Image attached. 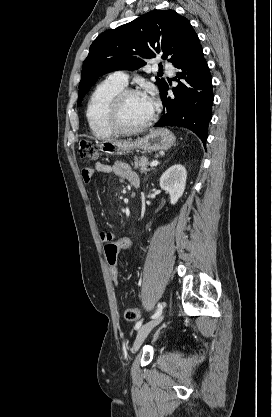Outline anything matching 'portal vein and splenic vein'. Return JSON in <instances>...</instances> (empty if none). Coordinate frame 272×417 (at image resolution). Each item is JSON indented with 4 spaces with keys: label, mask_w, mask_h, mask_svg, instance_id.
Returning a JSON list of instances; mask_svg holds the SVG:
<instances>
[{
    "label": "portal vein and splenic vein",
    "mask_w": 272,
    "mask_h": 417,
    "mask_svg": "<svg viewBox=\"0 0 272 417\" xmlns=\"http://www.w3.org/2000/svg\"><path fill=\"white\" fill-rule=\"evenodd\" d=\"M158 161L156 160V161H153V162H151V164H150V166L151 167H156L157 165H158Z\"/></svg>",
    "instance_id": "obj_1"
}]
</instances>
